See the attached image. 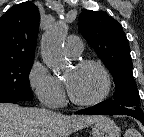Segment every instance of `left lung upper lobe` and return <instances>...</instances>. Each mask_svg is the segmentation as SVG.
I'll return each instance as SVG.
<instances>
[{"instance_id": "5c2ea615", "label": "left lung upper lobe", "mask_w": 144, "mask_h": 137, "mask_svg": "<svg viewBox=\"0 0 144 137\" xmlns=\"http://www.w3.org/2000/svg\"><path fill=\"white\" fill-rule=\"evenodd\" d=\"M78 28L113 76L114 99L104 102L105 105L141 109L132 75L130 46L119 22L105 12L84 10L79 16Z\"/></svg>"}]
</instances>
